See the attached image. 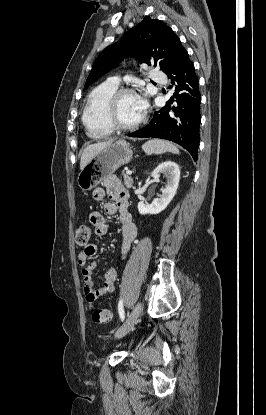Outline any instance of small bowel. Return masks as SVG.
Instances as JSON below:
<instances>
[{"instance_id": "small-bowel-1", "label": "small bowel", "mask_w": 266, "mask_h": 415, "mask_svg": "<svg viewBox=\"0 0 266 415\" xmlns=\"http://www.w3.org/2000/svg\"><path fill=\"white\" fill-rule=\"evenodd\" d=\"M108 195L110 202L104 204L103 209L107 215H117L122 225L123 243L121 247V258L125 259L131 244L137 236V227L132 221L131 214L128 212V192L122 182L116 176H109L104 182V187H98L93 191V198L102 201ZM90 223L97 235L103 236L108 232L106 219L99 211H93L89 216ZM97 246L88 244L77 255V263L82 267V278L84 283V294L89 304L97 299L113 292L115 282L118 279V271L111 268L104 275V283L100 288H94L93 273L97 268L96 262H89L88 259L97 254Z\"/></svg>"}]
</instances>
